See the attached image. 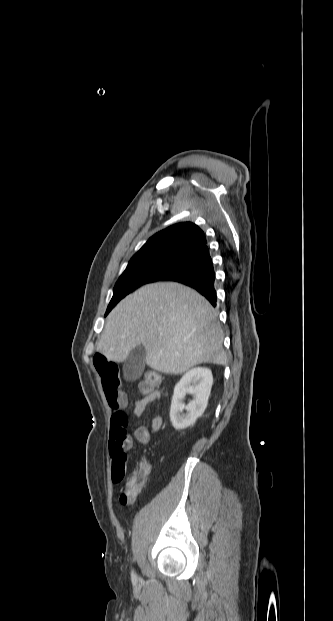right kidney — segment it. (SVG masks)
<instances>
[{
	"label": "right kidney",
	"instance_id": "1",
	"mask_svg": "<svg viewBox=\"0 0 333 621\" xmlns=\"http://www.w3.org/2000/svg\"><path fill=\"white\" fill-rule=\"evenodd\" d=\"M212 384L213 376L208 368L197 367L184 374L174 388L170 408V420L175 429H185L203 414ZM187 393L193 395V400L185 405L183 399ZM184 409L187 411L186 414L182 413Z\"/></svg>",
	"mask_w": 333,
	"mask_h": 621
}]
</instances>
